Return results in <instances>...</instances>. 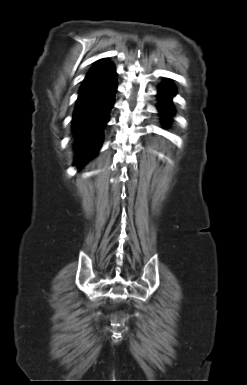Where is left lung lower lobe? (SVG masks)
<instances>
[{"label":"left lung lower lobe","instance_id":"obj_1","mask_svg":"<svg viewBox=\"0 0 247 385\" xmlns=\"http://www.w3.org/2000/svg\"><path fill=\"white\" fill-rule=\"evenodd\" d=\"M175 94L176 90L172 83L165 82L159 86L158 109L161 113L163 121L166 123L171 119L170 116L174 113L172 98Z\"/></svg>","mask_w":247,"mask_h":385}]
</instances>
